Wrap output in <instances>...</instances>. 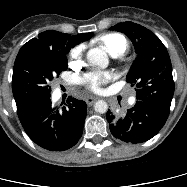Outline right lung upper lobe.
Returning <instances> with one entry per match:
<instances>
[{"label": "right lung upper lobe", "instance_id": "right-lung-upper-lobe-1", "mask_svg": "<svg viewBox=\"0 0 187 187\" xmlns=\"http://www.w3.org/2000/svg\"><path fill=\"white\" fill-rule=\"evenodd\" d=\"M93 33H82L78 35H69L58 31L48 30L42 32L37 38H33L24 44L22 47H41L44 49H59L65 50L74 47L83 41L89 39Z\"/></svg>", "mask_w": 187, "mask_h": 187}]
</instances>
